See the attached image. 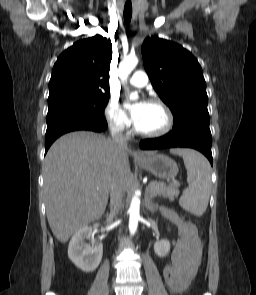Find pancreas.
<instances>
[{"instance_id": "obj_1", "label": "pancreas", "mask_w": 256, "mask_h": 295, "mask_svg": "<svg viewBox=\"0 0 256 295\" xmlns=\"http://www.w3.org/2000/svg\"><path fill=\"white\" fill-rule=\"evenodd\" d=\"M146 190L151 197L162 196L170 201H174L179 196V190L174 184L166 185L163 182L152 181Z\"/></svg>"}]
</instances>
